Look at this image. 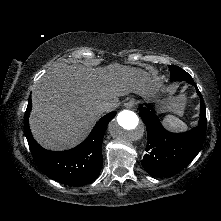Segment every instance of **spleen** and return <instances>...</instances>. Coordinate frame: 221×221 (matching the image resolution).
Returning a JSON list of instances; mask_svg holds the SVG:
<instances>
[{"mask_svg":"<svg viewBox=\"0 0 221 221\" xmlns=\"http://www.w3.org/2000/svg\"><path fill=\"white\" fill-rule=\"evenodd\" d=\"M163 123L170 130L183 131L186 129V124L182 120H180L178 117L173 116V115H167L163 119Z\"/></svg>","mask_w":221,"mask_h":221,"instance_id":"3e777b00","label":"spleen"}]
</instances>
